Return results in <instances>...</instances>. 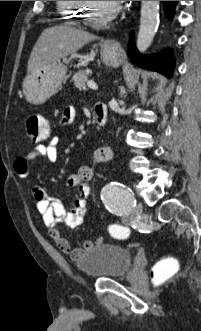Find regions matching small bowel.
<instances>
[{
    "instance_id": "c3829d8e",
    "label": "small bowel",
    "mask_w": 201,
    "mask_h": 331,
    "mask_svg": "<svg viewBox=\"0 0 201 331\" xmlns=\"http://www.w3.org/2000/svg\"><path fill=\"white\" fill-rule=\"evenodd\" d=\"M99 106L103 105L96 104L95 108ZM75 114L73 107H67L63 111L61 125L71 124L75 119ZM58 155L59 140L56 137L50 138L46 142L36 145L27 155L17 158L14 162L15 172L20 177L27 178L30 161L36 158H43L54 163ZM112 157L113 150L110 146L99 147L93 153V164L81 166L76 174L68 178L67 185L76 188L79 194L70 209H67L61 200L51 198L44 188L40 186L33 187V196L37 210L49 230L50 237L59 250L67 254L72 260H79L87 250L97 245V242L88 240L83 243L82 247L73 248L68 239L62 235L59 226L65 225L70 228H76L83 223L87 211V200L91 195L88 182L94 176V164L107 162Z\"/></svg>"
}]
</instances>
